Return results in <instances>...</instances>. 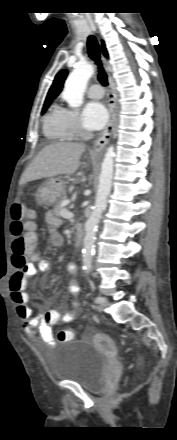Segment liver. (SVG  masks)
<instances>
[{
    "label": "liver",
    "mask_w": 177,
    "mask_h": 440,
    "mask_svg": "<svg viewBox=\"0 0 177 440\" xmlns=\"http://www.w3.org/2000/svg\"><path fill=\"white\" fill-rule=\"evenodd\" d=\"M84 151L85 145L74 142L44 147L22 174L20 184L62 174H74Z\"/></svg>",
    "instance_id": "1"
}]
</instances>
